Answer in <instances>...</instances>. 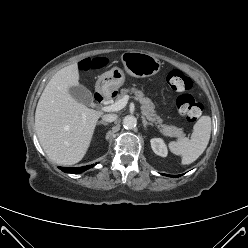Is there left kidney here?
Instances as JSON below:
<instances>
[{
    "label": "left kidney",
    "instance_id": "left-kidney-1",
    "mask_svg": "<svg viewBox=\"0 0 248 248\" xmlns=\"http://www.w3.org/2000/svg\"><path fill=\"white\" fill-rule=\"evenodd\" d=\"M150 142L155 154L161 157H166L168 155L167 146L161 138H153Z\"/></svg>",
    "mask_w": 248,
    "mask_h": 248
}]
</instances>
